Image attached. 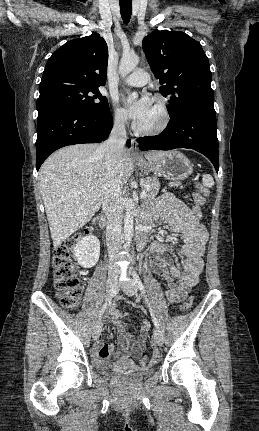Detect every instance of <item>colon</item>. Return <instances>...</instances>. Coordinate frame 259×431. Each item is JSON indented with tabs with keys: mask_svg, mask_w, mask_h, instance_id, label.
<instances>
[{
	"mask_svg": "<svg viewBox=\"0 0 259 431\" xmlns=\"http://www.w3.org/2000/svg\"><path fill=\"white\" fill-rule=\"evenodd\" d=\"M209 195L207 188L201 184L197 185V192L194 194V203L191 208L193 210V217L199 220L202 217L203 211L201 206L205 203ZM76 240H68L62 246L56 249L53 258V276L54 286L56 289L57 297L60 303L67 308H75L82 296V284L79 277V271L72 259V249ZM192 296L186 298L181 304V311L187 312L192 307ZM150 363L148 356L141 359V364L146 366Z\"/></svg>",
	"mask_w": 259,
	"mask_h": 431,
	"instance_id": "1",
	"label": "colon"
}]
</instances>
